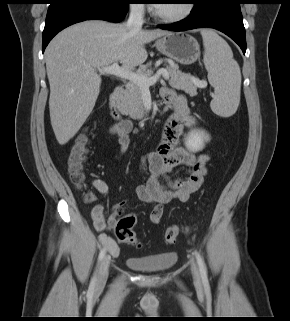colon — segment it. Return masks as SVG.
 Masks as SVG:
<instances>
[{
	"instance_id": "5ec220e1",
	"label": "colon",
	"mask_w": 290,
	"mask_h": 321,
	"mask_svg": "<svg viewBox=\"0 0 290 321\" xmlns=\"http://www.w3.org/2000/svg\"><path fill=\"white\" fill-rule=\"evenodd\" d=\"M90 138L87 133H80L71 146L67 155V167L70 174L71 181L78 188H82L86 181L85 162L88 155V147ZM88 200L93 201L94 196L88 195ZM136 223L135 214H127L120 218L116 223L115 231L117 239L131 246H139L136 233L133 229ZM180 229L177 226H170L166 229L164 240L167 244L175 243Z\"/></svg>"
}]
</instances>
